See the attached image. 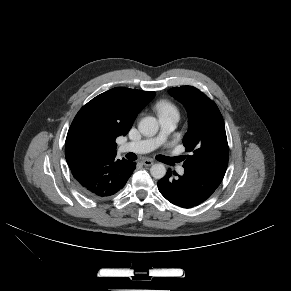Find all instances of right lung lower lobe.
<instances>
[{"label":"right lung lower lobe","instance_id":"obj_1","mask_svg":"<svg viewBox=\"0 0 291 291\" xmlns=\"http://www.w3.org/2000/svg\"><path fill=\"white\" fill-rule=\"evenodd\" d=\"M116 155L96 156L71 167L80 191L88 198H106L116 194L136 169V163L117 160Z\"/></svg>","mask_w":291,"mask_h":291}]
</instances>
